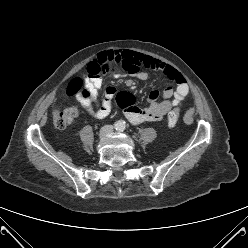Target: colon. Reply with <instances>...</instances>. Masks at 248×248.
Masks as SVG:
<instances>
[{
  "label": "colon",
  "instance_id": "5ec220e1",
  "mask_svg": "<svg viewBox=\"0 0 248 248\" xmlns=\"http://www.w3.org/2000/svg\"><path fill=\"white\" fill-rule=\"evenodd\" d=\"M109 62L100 63L97 66L89 65L87 68V74L90 77L100 76L108 67ZM67 95L76 96L80 99H86L90 96V90L86 85V81L81 77H76L72 79L67 87ZM133 98L130 94L121 92L116 96V103L121 109H126L133 103ZM181 111V106H177L172 109L167 116V123L170 127L177 124L179 113ZM78 110L76 107H69L66 109H61L60 107H55L53 111V123L57 128H65L69 125L72 120L76 117Z\"/></svg>",
  "mask_w": 248,
  "mask_h": 248
}]
</instances>
